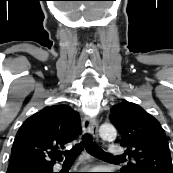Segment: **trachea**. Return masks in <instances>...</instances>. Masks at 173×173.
<instances>
[{"mask_svg": "<svg viewBox=\"0 0 173 173\" xmlns=\"http://www.w3.org/2000/svg\"><path fill=\"white\" fill-rule=\"evenodd\" d=\"M86 146L88 153L96 157H104V158H118L119 156H113L104 150H102L99 146L92 142V136L90 134H85L83 136V140L80 144L74 146L71 150H67L63 152L66 159L65 161H75V159L80 155L83 150V146Z\"/></svg>", "mask_w": 173, "mask_h": 173, "instance_id": "trachea-1", "label": "trachea"}]
</instances>
